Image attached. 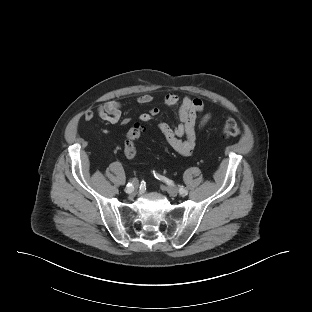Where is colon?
<instances>
[{
  "mask_svg": "<svg viewBox=\"0 0 312 312\" xmlns=\"http://www.w3.org/2000/svg\"><path fill=\"white\" fill-rule=\"evenodd\" d=\"M143 125L134 123L127 132L126 140L124 143V154L127 158L132 159L136 156V140L143 132ZM223 133L227 137H238L241 135L242 130L233 119H227L223 126Z\"/></svg>",
  "mask_w": 312,
  "mask_h": 312,
  "instance_id": "obj_1",
  "label": "colon"
}]
</instances>
